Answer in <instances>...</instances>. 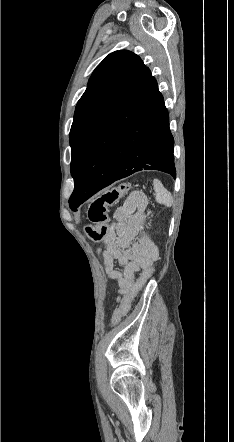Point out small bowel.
Returning a JSON list of instances; mask_svg holds the SVG:
<instances>
[{"mask_svg":"<svg viewBox=\"0 0 234 442\" xmlns=\"http://www.w3.org/2000/svg\"><path fill=\"white\" fill-rule=\"evenodd\" d=\"M147 197L139 192L131 193L113 215L108 233L97 248L109 278L116 281L121 294L133 286L140 271L152 266L157 259L153 245L147 242L133 244L146 217ZM116 263L122 270L116 269ZM123 299L118 298L122 303Z\"/></svg>","mask_w":234,"mask_h":442,"instance_id":"small-bowel-1","label":"small bowel"}]
</instances>
